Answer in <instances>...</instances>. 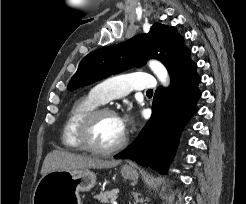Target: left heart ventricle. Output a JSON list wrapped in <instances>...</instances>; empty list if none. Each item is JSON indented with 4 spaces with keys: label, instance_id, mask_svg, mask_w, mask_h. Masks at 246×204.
<instances>
[{
    "label": "left heart ventricle",
    "instance_id": "1",
    "mask_svg": "<svg viewBox=\"0 0 246 204\" xmlns=\"http://www.w3.org/2000/svg\"><path fill=\"white\" fill-rule=\"evenodd\" d=\"M124 132L117 116L103 115L92 126L90 141L97 147H110L121 139Z\"/></svg>",
    "mask_w": 246,
    "mask_h": 204
}]
</instances>
